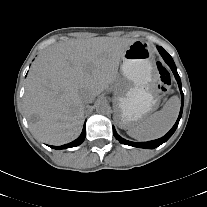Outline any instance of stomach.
Segmentation results:
<instances>
[{"instance_id":"stomach-1","label":"stomach","mask_w":207,"mask_h":207,"mask_svg":"<svg viewBox=\"0 0 207 207\" xmlns=\"http://www.w3.org/2000/svg\"><path fill=\"white\" fill-rule=\"evenodd\" d=\"M121 60V78L114 92V119L120 128L128 129L156 107L159 97L154 93L153 52L143 41L133 42Z\"/></svg>"}]
</instances>
